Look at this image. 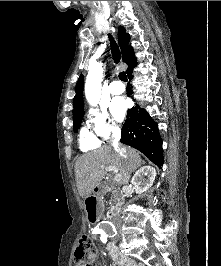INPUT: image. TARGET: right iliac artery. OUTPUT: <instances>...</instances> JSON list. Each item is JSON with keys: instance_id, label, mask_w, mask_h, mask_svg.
<instances>
[{"instance_id": "82829eb1", "label": "right iliac artery", "mask_w": 221, "mask_h": 266, "mask_svg": "<svg viewBox=\"0 0 221 266\" xmlns=\"http://www.w3.org/2000/svg\"><path fill=\"white\" fill-rule=\"evenodd\" d=\"M101 233H104V232H101V230H94L93 231V234H101Z\"/></svg>"}]
</instances>
